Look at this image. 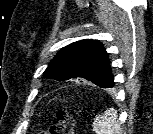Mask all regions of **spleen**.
<instances>
[{
    "label": "spleen",
    "instance_id": "1",
    "mask_svg": "<svg viewBox=\"0 0 153 134\" xmlns=\"http://www.w3.org/2000/svg\"><path fill=\"white\" fill-rule=\"evenodd\" d=\"M117 111L114 108L105 110L102 115H97L92 124L96 134H120L121 128L117 120Z\"/></svg>",
    "mask_w": 153,
    "mask_h": 134
}]
</instances>
